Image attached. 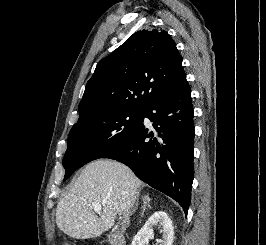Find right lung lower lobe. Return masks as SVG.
<instances>
[{
	"instance_id": "98d812e1",
	"label": "right lung lower lobe",
	"mask_w": 266,
	"mask_h": 245,
	"mask_svg": "<svg viewBox=\"0 0 266 245\" xmlns=\"http://www.w3.org/2000/svg\"><path fill=\"white\" fill-rule=\"evenodd\" d=\"M190 95L186 80L165 91L145 109L132 138L102 157L130 167L139 179L176 200L186 214L194 178ZM145 117L153 122L157 133L148 131L143 123Z\"/></svg>"
}]
</instances>
